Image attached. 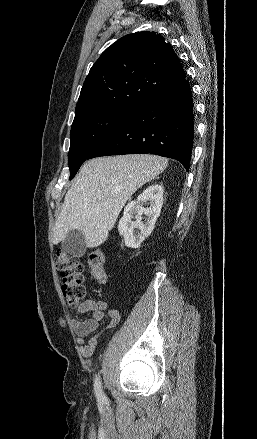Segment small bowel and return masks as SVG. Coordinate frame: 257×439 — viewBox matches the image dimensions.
I'll return each instance as SVG.
<instances>
[{"label":"small bowel","mask_w":257,"mask_h":439,"mask_svg":"<svg viewBox=\"0 0 257 439\" xmlns=\"http://www.w3.org/2000/svg\"><path fill=\"white\" fill-rule=\"evenodd\" d=\"M107 304L104 301L94 299H87L77 307V312L80 314L92 313V317L85 320H72V327L77 335V343L81 346L83 356L91 357L97 349V339L90 338L88 341L85 338L96 332L100 323L105 319H109L111 326L119 322L120 316L116 310H109L107 313Z\"/></svg>","instance_id":"c3829d8e"}]
</instances>
